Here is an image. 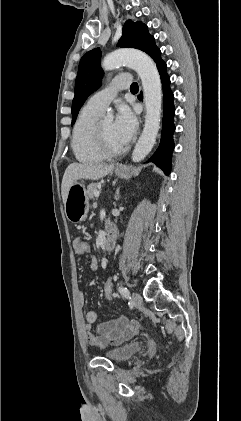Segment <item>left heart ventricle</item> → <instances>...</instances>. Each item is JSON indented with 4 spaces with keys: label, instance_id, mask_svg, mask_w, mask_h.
<instances>
[{
    "label": "left heart ventricle",
    "instance_id": "b2bd125f",
    "mask_svg": "<svg viewBox=\"0 0 241 421\" xmlns=\"http://www.w3.org/2000/svg\"><path fill=\"white\" fill-rule=\"evenodd\" d=\"M101 128L103 130V133L105 135V138H106L108 144L112 148L118 149V148H121V147H123L125 145L117 137V135L115 133L114 123L113 122H111V121L103 122L101 124Z\"/></svg>",
    "mask_w": 241,
    "mask_h": 421
}]
</instances>
